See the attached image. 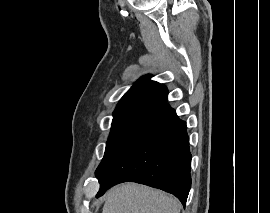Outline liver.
<instances>
[{"label":"liver","mask_w":270,"mask_h":213,"mask_svg":"<svg viewBox=\"0 0 270 213\" xmlns=\"http://www.w3.org/2000/svg\"><path fill=\"white\" fill-rule=\"evenodd\" d=\"M180 202L149 187L126 183L110 190L102 213H180Z\"/></svg>","instance_id":"obj_1"}]
</instances>
